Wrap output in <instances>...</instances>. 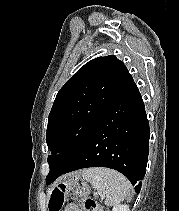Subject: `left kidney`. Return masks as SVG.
<instances>
[{
	"label": "left kidney",
	"instance_id": "1",
	"mask_svg": "<svg viewBox=\"0 0 179 211\" xmlns=\"http://www.w3.org/2000/svg\"><path fill=\"white\" fill-rule=\"evenodd\" d=\"M112 211H130V209L127 205H117L113 207Z\"/></svg>",
	"mask_w": 179,
	"mask_h": 211
}]
</instances>
